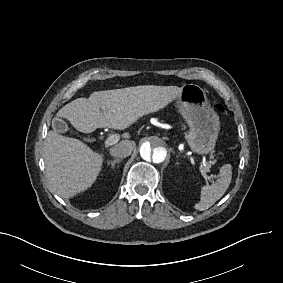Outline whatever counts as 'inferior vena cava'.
I'll return each mask as SVG.
<instances>
[{
	"label": "inferior vena cava",
	"instance_id": "obj_1",
	"mask_svg": "<svg viewBox=\"0 0 283 283\" xmlns=\"http://www.w3.org/2000/svg\"><path fill=\"white\" fill-rule=\"evenodd\" d=\"M133 149H134L133 142L124 140L113 146L110 149V153L111 155L117 157L118 159H121L123 157L129 156Z\"/></svg>",
	"mask_w": 283,
	"mask_h": 283
}]
</instances>
